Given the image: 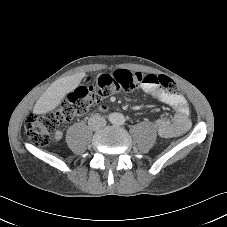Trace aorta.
<instances>
[{
	"instance_id": "obj_1",
	"label": "aorta",
	"mask_w": 227,
	"mask_h": 227,
	"mask_svg": "<svg viewBox=\"0 0 227 227\" xmlns=\"http://www.w3.org/2000/svg\"><path fill=\"white\" fill-rule=\"evenodd\" d=\"M110 121L114 125H123L125 123V117L122 113H112L110 115Z\"/></svg>"
}]
</instances>
